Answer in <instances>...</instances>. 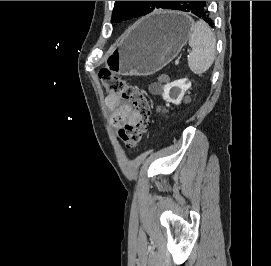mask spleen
Listing matches in <instances>:
<instances>
[{"label": "spleen", "instance_id": "3e777b00", "mask_svg": "<svg viewBox=\"0 0 271 266\" xmlns=\"http://www.w3.org/2000/svg\"><path fill=\"white\" fill-rule=\"evenodd\" d=\"M192 52L188 56V66L197 75L205 73L213 64L216 54V38L204 21L193 24L189 38Z\"/></svg>", "mask_w": 271, "mask_h": 266}]
</instances>
